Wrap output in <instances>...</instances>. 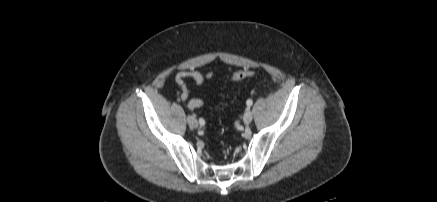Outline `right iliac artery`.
Segmentation results:
<instances>
[{"label": "right iliac artery", "instance_id": "right-iliac-artery-1", "mask_svg": "<svg viewBox=\"0 0 437 202\" xmlns=\"http://www.w3.org/2000/svg\"><path fill=\"white\" fill-rule=\"evenodd\" d=\"M199 124H200L201 126H204V125H205V121H204L203 118H199Z\"/></svg>", "mask_w": 437, "mask_h": 202}]
</instances>
